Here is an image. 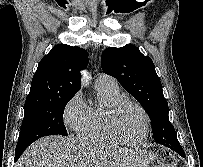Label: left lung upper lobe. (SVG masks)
<instances>
[{
  "label": "left lung upper lobe",
  "mask_w": 203,
  "mask_h": 167,
  "mask_svg": "<svg viewBox=\"0 0 203 167\" xmlns=\"http://www.w3.org/2000/svg\"><path fill=\"white\" fill-rule=\"evenodd\" d=\"M101 67L106 74L115 77L147 112L155 142L177 137L169 121V107L161 81L150 57L144 56L134 45L109 47L102 53Z\"/></svg>",
  "instance_id": "1"
}]
</instances>
